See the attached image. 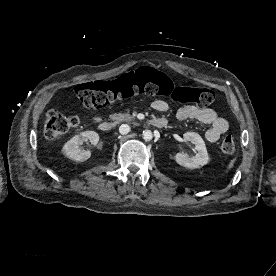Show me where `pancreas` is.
Returning a JSON list of instances; mask_svg holds the SVG:
<instances>
[{"mask_svg": "<svg viewBox=\"0 0 276 276\" xmlns=\"http://www.w3.org/2000/svg\"><path fill=\"white\" fill-rule=\"evenodd\" d=\"M110 119L113 121V124L116 125L120 122H129L131 120L134 119L133 116H131L130 114H112L110 115Z\"/></svg>", "mask_w": 276, "mask_h": 276, "instance_id": "pancreas-1", "label": "pancreas"}]
</instances>
